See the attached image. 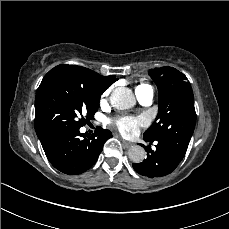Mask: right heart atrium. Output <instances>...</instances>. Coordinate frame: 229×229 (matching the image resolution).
<instances>
[{
  "label": "right heart atrium",
  "mask_w": 229,
  "mask_h": 229,
  "mask_svg": "<svg viewBox=\"0 0 229 229\" xmlns=\"http://www.w3.org/2000/svg\"><path fill=\"white\" fill-rule=\"evenodd\" d=\"M109 95V90H106L102 95H101V99L100 102L101 104H104L107 102V97Z\"/></svg>",
  "instance_id": "1"
}]
</instances>
